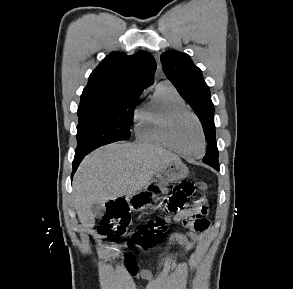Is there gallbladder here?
I'll use <instances>...</instances> for the list:
<instances>
[{
	"mask_svg": "<svg viewBox=\"0 0 293 289\" xmlns=\"http://www.w3.org/2000/svg\"><path fill=\"white\" fill-rule=\"evenodd\" d=\"M91 211L96 218H100L105 213V208L102 203H94L91 207Z\"/></svg>",
	"mask_w": 293,
	"mask_h": 289,
	"instance_id": "obj_1",
	"label": "gallbladder"
}]
</instances>
